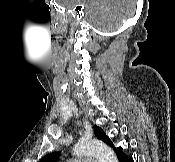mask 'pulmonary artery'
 <instances>
[{"label":"pulmonary artery","instance_id":"e3ab8cb5","mask_svg":"<svg viewBox=\"0 0 175 162\" xmlns=\"http://www.w3.org/2000/svg\"><path fill=\"white\" fill-rule=\"evenodd\" d=\"M70 162H96V160L90 158H84V159L71 160Z\"/></svg>","mask_w":175,"mask_h":162}]
</instances>
